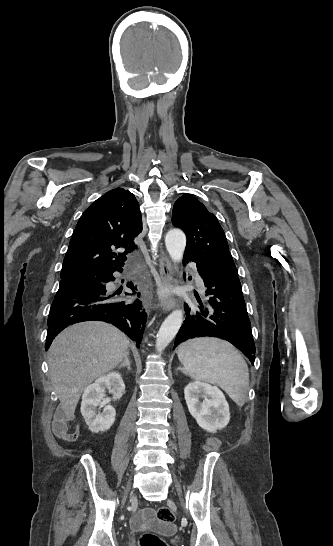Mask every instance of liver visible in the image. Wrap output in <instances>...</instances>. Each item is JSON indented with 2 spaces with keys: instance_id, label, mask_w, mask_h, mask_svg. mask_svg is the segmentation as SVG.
Listing matches in <instances>:
<instances>
[{
  "instance_id": "liver-1",
  "label": "liver",
  "mask_w": 333,
  "mask_h": 546,
  "mask_svg": "<svg viewBox=\"0 0 333 546\" xmlns=\"http://www.w3.org/2000/svg\"><path fill=\"white\" fill-rule=\"evenodd\" d=\"M128 340L116 327L96 321L63 330L49 349V374L66 417L74 415L84 389L122 362Z\"/></svg>"
}]
</instances>
